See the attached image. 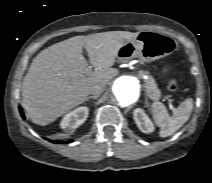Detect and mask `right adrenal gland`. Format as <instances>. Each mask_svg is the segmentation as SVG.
Segmentation results:
<instances>
[{
    "label": "right adrenal gland",
    "mask_w": 212,
    "mask_h": 183,
    "mask_svg": "<svg viewBox=\"0 0 212 183\" xmlns=\"http://www.w3.org/2000/svg\"><path fill=\"white\" fill-rule=\"evenodd\" d=\"M99 96L97 95V96H89V97H87L86 99H85V101H89L90 99H97Z\"/></svg>",
    "instance_id": "right-adrenal-gland-1"
}]
</instances>
